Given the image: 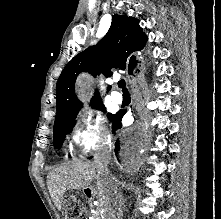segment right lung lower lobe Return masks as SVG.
Instances as JSON below:
<instances>
[{
    "label": "right lung lower lobe",
    "mask_w": 221,
    "mask_h": 219,
    "mask_svg": "<svg viewBox=\"0 0 221 219\" xmlns=\"http://www.w3.org/2000/svg\"><path fill=\"white\" fill-rule=\"evenodd\" d=\"M125 113H126L125 110H121L114 115L113 124H112L113 132L121 128L122 126L121 120ZM132 149L133 148H131V146H128L125 143L119 141V138L115 142V154H117L119 157H123L124 155L128 154L130 151H132Z\"/></svg>",
    "instance_id": "98d812e1"
}]
</instances>
